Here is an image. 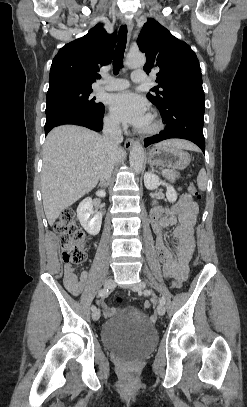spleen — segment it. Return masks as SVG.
<instances>
[{
  "label": "spleen",
  "mask_w": 247,
  "mask_h": 407,
  "mask_svg": "<svg viewBox=\"0 0 247 407\" xmlns=\"http://www.w3.org/2000/svg\"><path fill=\"white\" fill-rule=\"evenodd\" d=\"M197 184L201 191H205L207 188V176L205 169H201L198 177H197Z\"/></svg>",
  "instance_id": "3e777b00"
}]
</instances>
